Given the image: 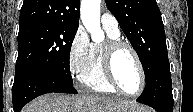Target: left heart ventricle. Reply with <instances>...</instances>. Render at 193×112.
Here are the masks:
<instances>
[{"instance_id":"b2bd125f","label":"left heart ventricle","mask_w":193,"mask_h":112,"mask_svg":"<svg viewBox=\"0 0 193 112\" xmlns=\"http://www.w3.org/2000/svg\"><path fill=\"white\" fill-rule=\"evenodd\" d=\"M114 73L121 87L128 93H136L140 87V73L132 53L119 51L114 59Z\"/></svg>"}]
</instances>
